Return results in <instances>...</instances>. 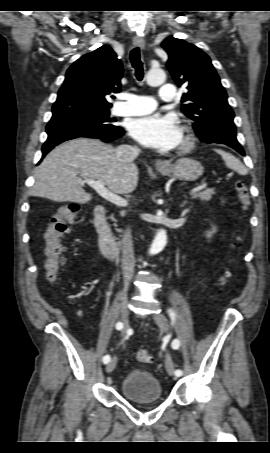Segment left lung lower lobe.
Instances as JSON below:
<instances>
[{
    "label": "left lung lower lobe",
    "instance_id": "obj_1",
    "mask_svg": "<svg viewBox=\"0 0 270 453\" xmlns=\"http://www.w3.org/2000/svg\"><path fill=\"white\" fill-rule=\"evenodd\" d=\"M226 145L232 147L237 152H239L241 155H245L244 150L239 143H231V144H226Z\"/></svg>",
    "mask_w": 270,
    "mask_h": 453
}]
</instances>
